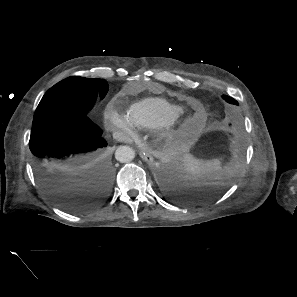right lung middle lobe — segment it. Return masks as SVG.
<instances>
[{
  "label": "right lung middle lobe",
  "instance_id": "right-lung-middle-lobe-1",
  "mask_svg": "<svg viewBox=\"0 0 297 297\" xmlns=\"http://www.w3.org/2000/svg\"><path fill=\"white\" fill-rule=\"evenodd\" d=\"M107 91L108 84L104 79L66 78L43 96L35 111L32 127L62 114L77 112L88 115L97 93L103 98Z\"/></svg>",
  "mask_w": 297,
  "mask_h": 297
}]
</instances>
